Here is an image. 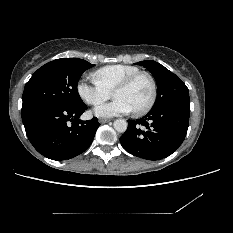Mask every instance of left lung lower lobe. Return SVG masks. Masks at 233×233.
I'll return each instance as SVG.
<instances>
[{"label":"left lung lower lobe","mask_w":233,"mask_h":233,"mask_svg":"<svg viewBox=\"0 0 233 233\" xmlns=\"http://www.w3.org/2000/svg\"><path fill=\"white\" fill-rule=\"evenodd\" d=\"M190 100L151 109L144 117L128 120L120 137L130 154L147 160H160L174 153L186 137Z\"/></svg>","instance_id":"1"}]
</instances>
